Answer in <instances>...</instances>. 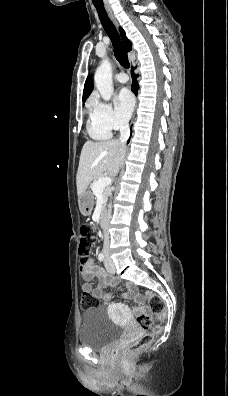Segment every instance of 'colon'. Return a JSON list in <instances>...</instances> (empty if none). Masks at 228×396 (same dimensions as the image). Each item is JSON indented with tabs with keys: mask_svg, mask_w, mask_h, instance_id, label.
Returning a JSON list of instances; mask_svg holds the SVG:
<instances>
[{
	"mask_svg": "<svg viewBox=\"0 0 228 396\" xmlns=\"http://www.w3.org/2000/svg\"><path fill=\"white\" fill-rule=\"evenodd\" d=\"M80 239H79V254L81 258V265H87L91 259L90 247L88 244L89 227L82 225L80 227ZM144 299L148 303L151 311L158 315V317L142 314L139 319V325L144 331L138 338H136L126 349V353H133L149 346L155 336L160 333L161 326L159 319L165 313L164 301L154 292L146 291L144 293ZM99 302L96 297L90 293H84L81 299V306L84 309H92L98 306Z\"/></svg>",
	"mask_w": 228,
	"mask_h": 396,
	"instance_id": "1",
	"label": "colon"
}]
</instances>
